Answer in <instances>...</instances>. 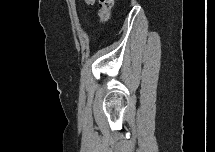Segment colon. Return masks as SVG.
Masks as SVG:
<instances>
[{
  "mask_svg": "<svg viewBox=\"0 0 215 152\" xmlns=\"http://www.w3.org/2000/svg\"><path fill=\"white\" fill-rule=\"evenodd\" d=\"M91 0H86L87 4H91ZM114 5V0H99V20L101 24H105L111 16V10Z\"/></svg>",
  "mask_w": 215,
  "mask_h": 152,
  "instance_id": "1",
  "label": "colon"
}]
</instances>
